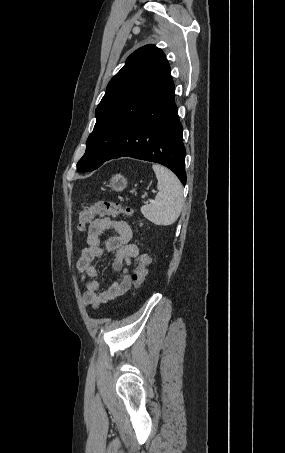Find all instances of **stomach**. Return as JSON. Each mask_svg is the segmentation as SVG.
<instances>
[{
  "mask_svg": "<svg viewBox=\"0 0 285 453\" xmlns=\"http://www.w3.org/2000/svg\"><path fill=\"white\" fill-rule=\"evenodd\" d=\"M127 184L128 181L124 176L116 174L112 176L108 186L114 191L121 192L127 187Z\"/></svg>",
  "mask_w": 285,
  "mask_h": 453,
  "instance_id": "obj_1",
  "label": "stomach"
}]
</instances>
